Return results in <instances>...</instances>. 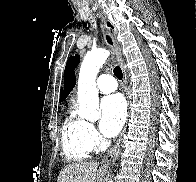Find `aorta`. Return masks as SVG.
I'll return each mask as SVG.
<instances>
[{
  "label": "aorta",
  "instance_id": "obj_1",
  "mask_svg": "<svg viewBox=\"0 0 196 182\" xmlns=\"http://www.w3.org/2000/svg\"><path fill=\"white\" fill-rule=\"evenodd\" d=\"M108 57L109 51L97 49L87 53L83 60L78 79L79 109L77 114L80 118L97 121L100 117L96 77Z\"/></svg>",
  "mask_w": 196,
  "mask_h": 182
}]
</instances>
